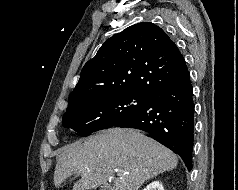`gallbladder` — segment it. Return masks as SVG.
Here are the masks:
<instances>
[{
    "mask_svg": "<svg viewBox=\"0 0 238 190\" xmlns=\"http://www.w3.org/2000/svg\"><path fill=\"white\" fill-rule=\"evenodd\" d=\"M100 190H111V186L109 184H104Z\"/></svg>",
    "mask_w": 238,
    "mask_h": 190,
    "instance_id": "gallbladder-1",
    "label": "gallbladder"
}]
</instances>
